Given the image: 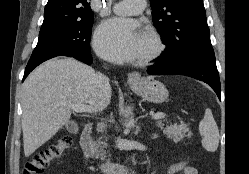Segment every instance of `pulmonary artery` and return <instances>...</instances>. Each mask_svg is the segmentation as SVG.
<instances>
[{
	"label": "pulmonary artery",
	"mask_w": 249,
	"mask_h": 174,
	"mask_svg": "<svg viewBox=\"0 0 249 174\" xmlns=\"http://www.w3.org/2000/svg\"><path fill=\"white\" fill-rule=\"evenodd\" d=\"M146 5L145 0H122L113 6V10L121 15H133L140 13Z\"/></svg>",
	"instance_id": "obj_1"
}]
</instances>
